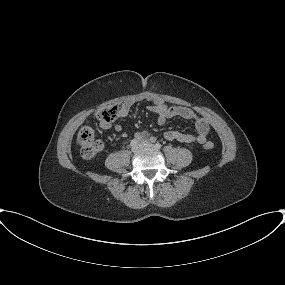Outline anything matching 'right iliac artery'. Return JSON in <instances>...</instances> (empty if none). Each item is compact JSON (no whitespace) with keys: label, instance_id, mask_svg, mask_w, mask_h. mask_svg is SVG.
Listing matches in <instances>:
<instances>
[{"label":"right iliac artery","instance_id":"right-iliac-artery-1","mask_svg":"<svg viewBox=\"0 0 285 285\" xmlns=\"http://www.w3.org/2000/svg\"><path fill=\"white\" fill-rule=\"evenodd\" d=\"M154 142V141H153ZM138 144V141L136 139L131 140L130 146L134 147L135 145Z\"/></svg>","mask_w":285,"mask_h":285}]
</instances>
